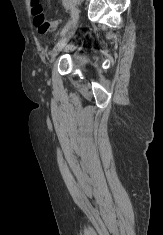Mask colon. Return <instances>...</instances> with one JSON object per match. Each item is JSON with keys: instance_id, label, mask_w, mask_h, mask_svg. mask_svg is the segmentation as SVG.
I'll return each instance as SVG.
<instances>
[{"instance_id": "colon-1", "label": "colon", "mask_w": 163, "mask_h": 235, "mask_svg": "<svg viewBox=\"0 0 163 235\" xmlns=\"http://www.w3.org/2000/svg\"><path fill=\"white\" fill-rule=\"evenodd\" d=\"M33 22L40 33L56 30L59 26V20H48L43 12L40 0L31 1Z\"/></svg>"}]
</instances>
